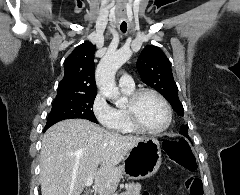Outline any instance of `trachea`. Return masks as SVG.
Returning <instances> with one entry per match:
<instances>
[{
  "mask_svg": "<svg viewBox=\"0 0 240 195\" xmlns=\"http://www.w3.org/2000/svg\"><path fill=\"white\" fill-rule=\"evenodd\" d=\"M120 30L125 33L126 30H127V25H124V26H120Z\"/></svg>",
  "mask_w": 240,
  "mask_h": 195,
  "instance_id": "trachea-1",
  "label": "trachea"
}]
</instances>
